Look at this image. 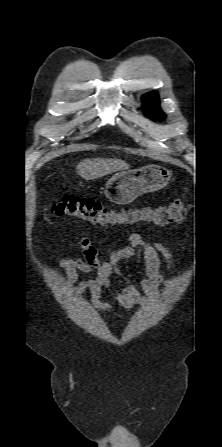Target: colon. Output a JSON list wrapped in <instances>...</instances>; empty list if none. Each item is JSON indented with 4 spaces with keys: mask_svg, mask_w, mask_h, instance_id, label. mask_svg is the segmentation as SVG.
Returning a JSON list of instances; mask_svg holds the SVG:
<instances>
[{
    "mask_svg": "<svg viewBox=\"0 0 222 447\" xmlns=\"http://www.w3.org/2000/svg\"><path fill=\"white\" fill-rule=\"evenodd\" d=\"M186 210L184 199L175 200L168 206L159 208L134 206L116 209L92 198L65 196L53 205V212L57 216L72 217L85 224L103 227L138 223L164 227L181 222Z\"/></svg>",
    "mask_w": 222,
    "mask_h": 447,
    "instance_id": "colon-1",
    "label": "colon"
}]
</instances>
